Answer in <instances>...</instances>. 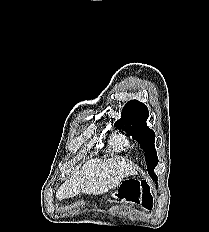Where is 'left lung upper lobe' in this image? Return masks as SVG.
I'll use <instances>...</instances> for the list:
<instances>
[{
	"label": "left lung upper lobe",
	"mask_w": 209,
	"mask_h": 232,
	"mask_svg": "<svg viewBox=\"0 0 209 232\" xmlns=\"http://www.w3.org/2000/svg\"><path fill=\"white\" fill-rule=\"evenodd\" d=\"M148 117L149 111L147 106L137 100H131L122 109L121 118L115 125L141 144L148 164V173L154 181H157V176L154 174V168L158 164L154 146L155 133L146 124Z\"/></svg>",
	"instance_id": "left-lung-upper-lobe-1"
}]
</instances>
